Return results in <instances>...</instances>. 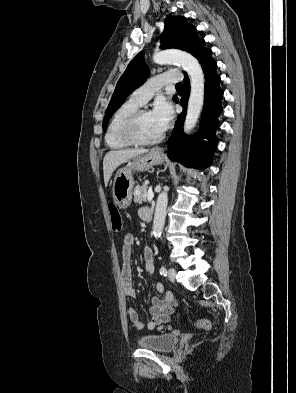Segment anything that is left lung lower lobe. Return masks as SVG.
I'll return each instance as SVG.
<instances>
[{
  "instance_id": "1",
  "label": "left lung lower lobe",
  "mask_w": 296,
  "mask_h": 393,
  "mask_svg": "<svg viewBox=\"0 0 296 393\" xmlns=\"http://www.w3.org/2000/svg\"><path fill=\"white\" fill-rule=\"evenodd\" d=\"M211 53L212 51L200 62L205 74V95L199 133L188 137L182 130L190 88L188 75L185 74L183 81L184 95L180 101L183 111L178 115L173 133L168 140L169 159L184 165L188 162L187 166L189 167L206 168L209 166L216 145V139L213 138V135L219 124L218 116L222 111L221 98L223 92L219 86L220 77L216 73L217 64L212 59ZM203 138H207L209 141L205 142Z\"/></svg>"
}]
</instances>
